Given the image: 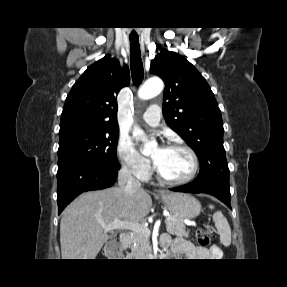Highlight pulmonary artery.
<instances>
[{"label": "pulmonary artery", "mask_w": 287, "mask_h": 287, "mask_svg": "<svg viewBox=\"0 0 287 287\" xmlns=\"http://www.w3.org/2000/svg\"><path fill=\"white\" fill-rule=\"evenodd\" d=\"M143 121L150 126H157L160 122V107L150 105L142 115Z\"/></svg>", "instance_id": "pulmonary-artery-1"}]
</instances>
